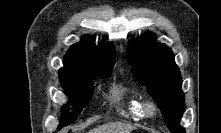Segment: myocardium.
<instances>
[{
	"instance_id": "f54148a6",
	"label": "myocardium",
	"mask_w": 221,
	"mask_h": 133,
	"mask_svg": "<svg viewBox=\"0 0 221 133\" xmlns=\"http://www.w3.org/2000/svg\"><path fill=\"white\" fill-rule=\"evenodd\" d=\"M143 112L148 117H154L158 112L157 104L153 100H146L142 104Z\"/></svg>"
}]
</instances>
